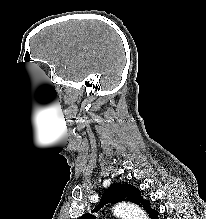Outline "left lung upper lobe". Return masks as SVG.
I'll use <instances>...</instances> for the list:
<instances>
[{
	"instance_id": "1",
	"label": "left lung upper lobe",
	"mask_w": 206,
	"mask_h": 219,
	"mask_svg": "<svg viewBox=\"0 0 206 219\" xmlns=\"http://www.w3.org/2000/svg\"><path fill=\"white\" fill-rule=\"evenodd\" d=\"M120 201H130L142 206L146 211L150 209V202L144 200L141 196L140 190L130 184H113L111 185L101 197L99 204L92 210L97 212L107 203L115 204ZM78 219H96L93 214L86 213Z\"/></svg>"
}]
</instances>
